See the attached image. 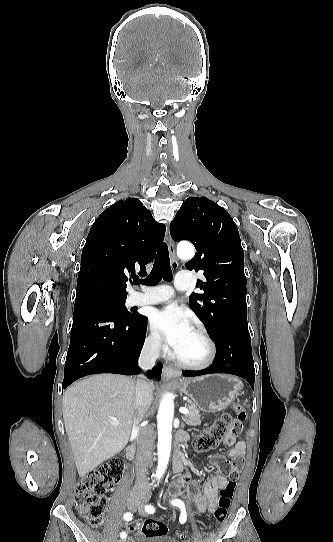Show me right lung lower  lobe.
<instances>
[{"label":"right lung lower lobe","mask_w":333,"mask_h":542,"mask_svg":"<svg viewBox=\"0 0 333 542\" xmlns=\"http://www.w3.org/2000/svg\"><path fill=\"white\" fill-rule=\"evenodd\" d=\"M95 264L106 261L109 253L96 249L88 255ZM137 313V312H136ZM123 318L95 297L75 299L70 346L62 389L90 374H137V365L147 330V317ZM160 362L147 376L160 380Z\"/></svg>","instance_id":"1"}]
</instances>
